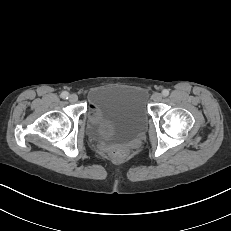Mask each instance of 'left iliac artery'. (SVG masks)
<instances>
[{"instance_id":"left-iliac-artery-1","label":"left iliac artery","mask_w":231,"mask_h":231,"mask_svg":"<svg viewBox=\"0 0 231 231\" xmlns=\"http://www.w3.org/2000/svg\"><path fill=\"white\" fill-rule=\"evenodd\" d=\"M162 95H163L164 97L168 96V95H169V90H168V89H164V90L162 91Z\"/></svg>"}]
</instances>
